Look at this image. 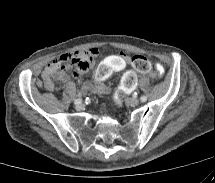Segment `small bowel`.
Instances as JSON below:
<instances>
[{
  "label": "small bowel",
  "mask_w": 215,
  "mask_h": 183,
  "mask_svg": "<svg viewBox=\"0 0 215 183\" xmlns=\"http://www.w3.org/2000/svg\"><path fill=\"white\" fill-rule=\"evenodd\" d=\"M71 59H78L81 64L75 67L74 75L80 77V75L86 73L91 69L99 56V50L96 47H89L79 52L66 54ZM130 60L129 56L125 53L117 52L110 57L102 59L99 62L98 68L102 74L108 75L112 72H117L127 65ZM68 74L60 67V58L50 63L42 73L43 84L49 91L56 89L54 80L67 81ZM84 91L93 90L98 95H105L108 93V87L104 84L103 80L97 79L94 84L85 82L82 84Z\"/></svg>",
  "instance_id": "obj_1"
}]
</instances>
